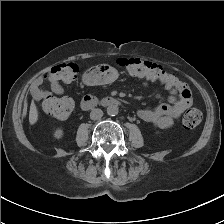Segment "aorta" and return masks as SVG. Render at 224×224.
<instances>
[{
  "mask_svg": "<svg viewBox=\"0 0 224 224\" xmlns=\"http://www.w3.org/2000/svg\"><path fill=\"white\" fill-rule=\"evenodd\" d=\"M107 114L110 116H115L118 114V107L116 105H109L107 107Z\"/></svg>",
  "mask_w": 224,
  "mask_h": 224,
  "instance_id": "762f6f07",
  "label": "aorta"
}]
</instances>
